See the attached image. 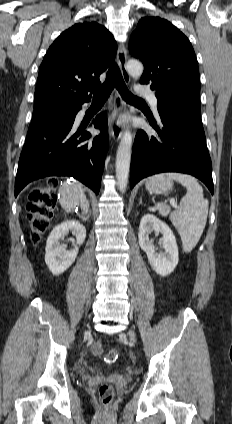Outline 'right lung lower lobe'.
Returning a JSON list of instances; mask_svg holds the SVG:
<instances>
[{
    "mask_svg": "<svg viewBox=\"0 0 232 424\" xmlns=\"http://www.w3.org/2000/svg\"><path fill=\"white\" fill-rule=\"evenodd\" d=\"M78 106H57L32 120L21 152L15 180V196L31 181L53 175L74 177L99 193L108 151L107 120L99 114L90 126L101 133L90 139L89 132L74 125Z\"/></svg>",
    "mask_w": 232,
    "mask_h": 424,
    "instance_id": "1",
    "label": "right lung lower lobe"
}]
</instances>
